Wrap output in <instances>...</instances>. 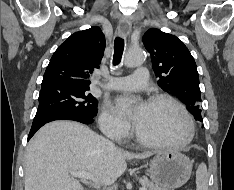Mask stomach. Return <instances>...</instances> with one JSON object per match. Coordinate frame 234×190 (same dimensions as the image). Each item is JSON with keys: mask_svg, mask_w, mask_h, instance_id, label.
<instances>
[{"mask_svg": "<svg viewBox=\"0 0 234 190\" xmlns=\"http://www.w3.org/2000/svg\"><path fill=\"white\" fill-rule=\"evenodd\" d=\"M192 173V163L176 151H160L150 163L149 176L155 185L174 190L184 185Z\"/></svg>", "mask_w": 234, "mask_h": 190, "instance_id": "0dacf381", "label": "stomach"}]
</instances>
